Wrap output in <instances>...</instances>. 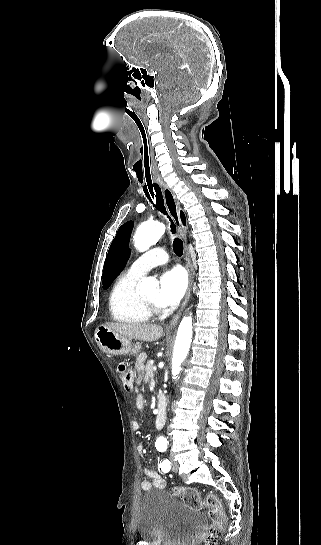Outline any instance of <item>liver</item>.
<instances>
[{"instance_id": "6515ba94", "label": "liver", "mask_w": 321, "mask_h": 545, "mask_svg": "<svg viewBox=\"0 0 321 545\" xmlns=\"http://www.w3.org/2000/svg\"><path fill=\"white\" fill-rule=\"evenodd\" d=\"M104 327L118 333L122 337L128 339H136V341H158L163 335V329L160 325H152V323H106Z\"/></svg>"}]
</instances>
